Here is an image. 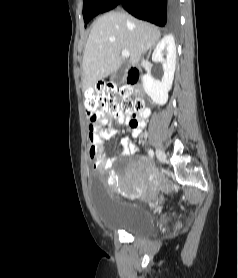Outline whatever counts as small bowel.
Wrapping results in <instances>:
<instances>
[{"instance_id":"obj_1","label":"small bowel","mask_w":238,"mask_h":278,"mask_svg":"<svg viewBox=\"0 0 238 278\" xmlns=\"http://www.w3.org/2000/svg\"><path fill=\"white\" fill-rule=\"evenodd\" d=\"M148 116V110H144L140 113L124 112L122 110L115 113H101L100 119L90 127L89 138L91 147L89 155L93 161L94 168L99 171L108 170L112 168L114 162L119 156H129L135 154L138 151V148L132 141V138H138L141 135L147 125L146 118ZM110 120H112L113 124L116 126L123 124L128 125L131 129L132 138L123 137L120 141L123 148L121 154L107 158L103 144L112 136V133L105 128Z\"/></svg>"}]
</instances>
